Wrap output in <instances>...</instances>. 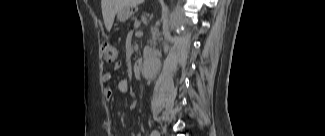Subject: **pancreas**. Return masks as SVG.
<instances>
[{
	"instance_id": "cf45deb5",
	"label": "pancreas",
	"mask_w": 325,
	"mask_h": 136,
	"mask_svg": "<svg viewBox=\"0 0 325 136\" xmlns=\"http://www.w3.org/2000/svg\"><path fill=\"white\" fill-rule=\"evenodd\" d=\"M127 22H128V24L132 25V24H134L135 21H134V19L130 18V19H128Z\"/></svg>"
}]
</instances>
